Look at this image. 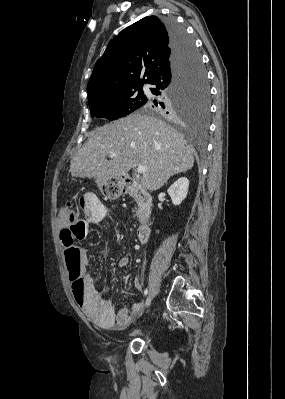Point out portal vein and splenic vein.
<instances>
[{
	"label": "portal vein and splenic vein",
	"instance_id": "18ae733b",
	"mask_svg": "<svg viewBox=\"0 0 285 399\" xmlns=\"http://www.w3.org/2000/svg\"><path fill=\"white\" fill-rule=\"evenodd\" d=\"M115 156H116L115 153H111V154H110V157H111V158H113V157H115ZM146 171H147V167H146L145 165H139V166L137 167V172H138L139 174L145 173Z\"/></svg>",
	"mask_w": 285,
	"mask_h": 399
}]
</instances>
